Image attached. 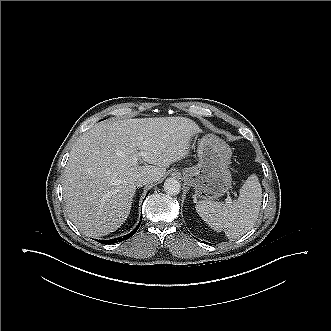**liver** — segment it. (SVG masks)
Returning a JSON list of instances; mask_svg holds the SVG:
<instances>
[{
	"mask_svg": "<svg viewBox=\"0 0 331 331\" xmlns=\"http://www.w3.org/2000/svg\"><path fill=\"white\" fill-rule=\"evenodd\" d=\"M198 132L188 118L163 117L107 121L84 133L64 171L63 197L71 221L90 237L116 231L130 213L136 179L150 175L152 182L160 180L166 167L188 154ZM134 156L149 165H134Z\"/></svg>",
	"mask_w": 331,
	"mask_h": 331,
	"instance_id": "6515ba94",
	"label": "liver"
}]
</instances>
